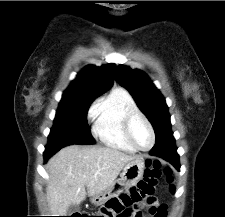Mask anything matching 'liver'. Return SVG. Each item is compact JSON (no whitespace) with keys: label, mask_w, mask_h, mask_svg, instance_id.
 <instances>
[{"label":"liver","mask_w":225,"mask_h":217,"mask_svg":"<svg viewBox=\"0 0 225 217\" xmlns=\"http://www.w3.org/2000/svg\"><path fill=\"white\" fill-rule=\"evenodd\" d=\"M137 156L114 148L71 145L47 163L46 195L54 216H66L71 204L99 194L113 185L124 166Z\"/></svg>","instance_id":"6515ba94"}]
</instances>
